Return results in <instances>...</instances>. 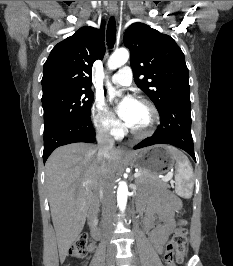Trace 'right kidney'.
Returning a JSON list of instances; mask_svg holds the SVG:
<instances>
[{
    "mask_svg": "<svg viewBox=\"0 0 233 266\" xmlns=\"http://www.w3.org/2000/svg\"><path fill=\"white\" fill-rule=\"evenodd\" d=\"M97 222H98V221L95 219V220H94V224L96 225V224H97Z\"/></svg>",
    "mask_w": 233,
    "mask_h": 266,
    "instance_id": "right-kidney-1",
    "label": "right kidney"
}]
</instances>
